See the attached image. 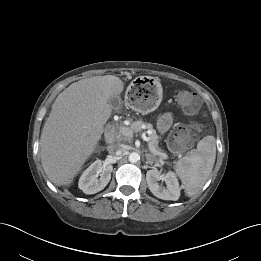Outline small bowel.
<instances>
[{
    "label": "small bowel",
    "instance_id": "c3829d8e",
    "mask_svg": "<svg viewBox=\"0 0 261 261\" xmlns=\"http://www.w3.org/2000/svg\"><path fill=\"white\" fill-rule=\"evenodd\" d=\"M172 120H173L172 115L169 113H166L163 116H161L158 122L159 130L161 132L167 131L172 124Z\"/></svg>",
    "mask_w": 261,
    "mask_h": 261
}]
</instances>
